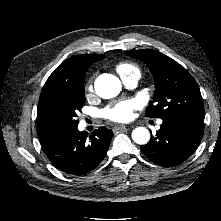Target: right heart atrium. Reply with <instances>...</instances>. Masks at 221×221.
I'll list each match as a JSON object with an SVG mask.
<instances>
[{
	"label": "right heart atrium",
	"mask_w": 221,
	"mask_h": 221,
	"mask_svg": "<svg viewBox=\"0 0 221 221\" xmlns=\"http://www.w3.org/2000/svg\"><path fill=\"white\" fill-rule=\"evenodd\" d=\"M85 90H86V93L87 95H90L93 93L94 91V87H93V81L92 80H89L85 86Z\"/></svg>",
	"instance_id": "right-heart-atrium-1"
}]
</instances>
